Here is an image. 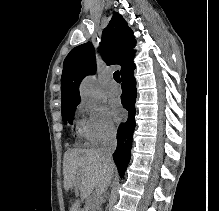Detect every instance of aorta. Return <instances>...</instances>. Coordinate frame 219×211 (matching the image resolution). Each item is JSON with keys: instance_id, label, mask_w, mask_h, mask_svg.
Wrapping results in <instances>:
<instances>
[{"instance_id": "1", "label": "aorta", "mask_w": 219, "mask_h": 211, "mask_svg": "<svg viewBox=\"0 0 219 211\" xmlns=\"http://www.w3.org/2000/svg\"><path fill=\"white\" fill-rule=\"evenodd\" d=\"M80 94L88 102H96L100 99L101 93L92 77L85 78L80 85Z\"/></svg>"}]
</instances>
